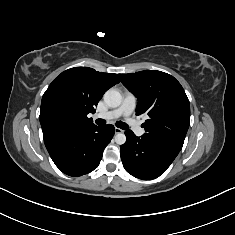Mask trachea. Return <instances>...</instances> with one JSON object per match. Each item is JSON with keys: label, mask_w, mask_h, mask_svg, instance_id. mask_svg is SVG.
I'll list each match as a JSON object with an SVG mask.
<instances>
[{"label": "trachea", "mask_w": 235, "mask_h": 235, "mask_svg": "<svg viewBox=\"0 0 235 235\" xmlns=\"http://www.w3.org/2000/svg\"><path fill=\"white\" fill-rule=\"evenodd\" d=\"M95 123H96L97 125L102 126V125H105V124H106V121H105L104 119H97V120L95 121ZM116 126H117L118 128L123 129V130L128 129V125H127L126 123L122 122V121H117V122H116Z\"/></svg>", "instance_id": "3493384b"}]
</instances>
